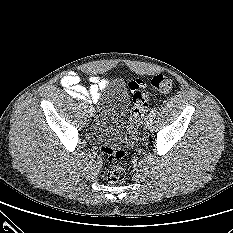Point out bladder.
Here are the masks:
<instances>
[{
	"instance_id": "31cf9c89",
	"label": "bladder",
	"mask_w": 233,
	"mask_h": 233,
	"mask_svg": "<svg viewBox=\"0 0 233 233\" xmlns=\"http://www.w3.org/2000/svg\"><path fill=\"white\" fill-rule=\"evenodd\" d=\"M129 100L130 94L123 82L117 80L108 87L95 125L98 142L108 146L132 142L133 130L125 118Z\"/></svg>"
}]
</instances>
